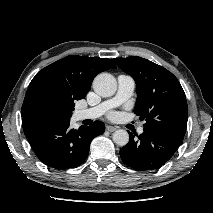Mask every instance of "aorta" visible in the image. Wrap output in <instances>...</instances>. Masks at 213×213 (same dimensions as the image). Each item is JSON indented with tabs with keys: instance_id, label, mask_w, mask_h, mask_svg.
<instances>
[{
	"instance_id": "762f6f07",
	"label": "aorta",
	"mask_w": 213,
	"mask_h": 213,
	"mask_svg": "<svg viewBox=\"0 0 213 213\" xmlns=\"http://www.w3.org/2000/svg\"><path fill=\"white\" fill-rule=\"evenodd\" d=\"M94 91L102 97H110L117 90V82L109 73H101L94 78ZM112 139L118 146H125L129 142V134L126 130L119 129L113 133Z\"/></svg>"
}]
</instances>
